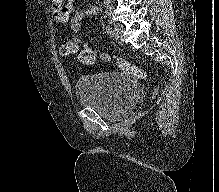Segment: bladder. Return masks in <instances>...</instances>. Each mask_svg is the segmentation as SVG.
<instances>
[{"label":"bladder","mask_w":219,"mask_h":192,"mask_svg":"<svg viewBox=\"0 0 219 192\" xmlns=\"http://www.w3.org/2000/svg\"><path fill=\"white\" fill-rule=\"evenodd\" d=\"M75 94L80 106L98 111L109 121H117L135 107L139 85L127 75L107 71L80 77Z\"/></svg>","instance_id":"31cf9c89"}]
</instances>
